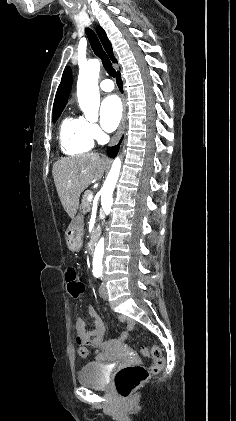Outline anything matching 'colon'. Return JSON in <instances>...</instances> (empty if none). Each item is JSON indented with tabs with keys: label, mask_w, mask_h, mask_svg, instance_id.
Segmentation results:
<instances>
[{
	"label": "colon",
	"mask_w": 236,
	"mask_h": 421,
	"mask_svg": "<svg viewBox=\"0 0 236 421\" xmlns=\"http://www.w3.org/2000/svg\"><path fill=\"white\" fill-rule=\"evenodd\" d=\"M66 279L70 295L73 298H79L84 292V284L79 273L74 268H70L67 271ZM141 354L145 358L152 357L154 359L150 368L139 364L129 365L119 369L115 374V387L123 398H128L134 390L149 378L151 373L160 372L164 366L165 361L159 347L155 346L151 349L143 347Z\"/></svg>",
	"instance_id": "obj_1"
}]
</instances>
